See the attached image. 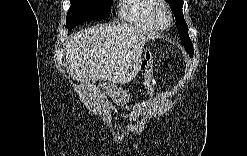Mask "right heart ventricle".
Instances as JSON below:
<instances>
[{"instance_id": "e07e8e85", "label": "right heart ventricle", "mask_w": 247, "mask_h": 156, "mask_svg": "<svg viewBox=\"0 0 247 156\" xmlns=\"http://www.w3.org/2000/svg\"><path fill=\"white\" fill-rule=\"evenodd\" d=\"M156 0H126L119 8L120 17L131 24L145 29H158L153 21V10Z\"/></svg>"}]
</instances>
